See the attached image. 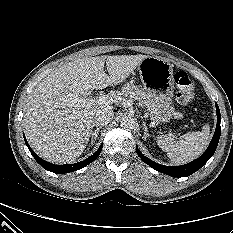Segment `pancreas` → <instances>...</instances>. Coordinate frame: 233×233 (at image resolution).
<instances>
[{"label":"pancreas","mask_w":233,"mask_h":233,"mask_svg":"<svg viewBox=\"0 0 233 233\" xmlns=\"http://www.w3.org/2000/svg\"><path fill=\"white\" fill-rule=\"evenodd\" d=\"M121 96H129L137 101L139 106L146 107L150 112V117L154 121H162L163 117L160 113V106L152 101L151 97L139 86L127 83L122 88Z\"/></svg>","instance_id":"obj_1"}]
</instances>
